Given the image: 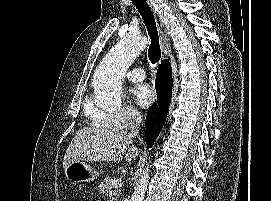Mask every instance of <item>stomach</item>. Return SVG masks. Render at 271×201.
Returning a JSON list of instances; mask_svg holds the SVG:
<instances>
[{
  "label": "stomach",
  "instance_id": "stomach-1",
  "mask_svg": "<svg viewBox=\"0 0 271 201\" xmlns=\"http://www.w3.org/2000/svg\"><path fill=\"white\" fill-rule=\"evenodd\" d=\"M65 176L71 183L92 182L99 176V172L91 165L77 161L64 168Z\"/></svg>",
  "mask_w": 271,
  "mask_h": 201
}]
</instances>
